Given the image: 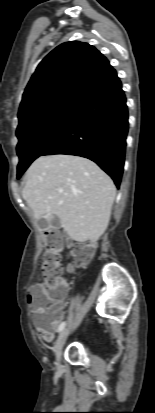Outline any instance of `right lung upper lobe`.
Instances as JSON below:
<instances>
[{
	"label": "right lung upper lobe",
	"mask_w": 155,
	"mask_h": 413,
	"mask_svg": "<svg viewBox=\"0 0 155 413\" xmlns=\"http://www.w3.org/2000/svg\"><path fill=\"white\" fill-rule=\"evenodd\" d=\"M117 76L93 46L66 42L38 65L23 94L19 125L64 104H78Z\"/></svg>",
	"instance_id": "cb5924a9"
}]
</instances>
